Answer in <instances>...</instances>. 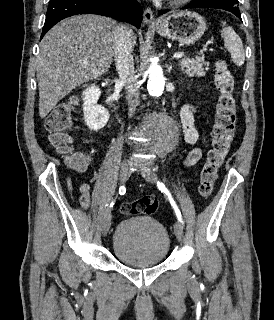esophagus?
I'll return each mask as SVG.
<instances>
[{
    "instance_id": "1",
    "label": "esophagus",
    "mask_w": 274,
    "mask_h": 320,
    "mask_svg": "<svg viewBox=\"0 0 274 320\" xmlns=\"http://www.w3.org/2000/svg\"><path fill=\"white\" fill-rule=\"evenodd\" d=\"M143 21L144 23L148 24V25H154L156 24V21L154 19V13L151 10V8L146 7L144 9V13H143Z\"/></svg>"
}]
</instances>
